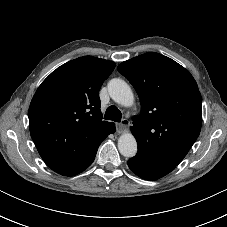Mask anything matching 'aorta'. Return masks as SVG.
<instances>
[{
    "label": "aorta",
    "instance_id": "aorta-1",
    "mask_svg": "<svg viewBox=\"0 0 227 227\" xmlns=\"http://www.w3.org/2000/svg\"><path fill=\"white\" fill-rule=\"evenodd\" d=\"M110 97L118 104L129 107L134 103L130 86L122 79L114 78L108 83ZM118 150L124 157L130 158L137 153V141L131 133H124L118 139Z\"/></svg>",
    "mask_w": 227,
    "mask_h": 227
}]
</instances>
